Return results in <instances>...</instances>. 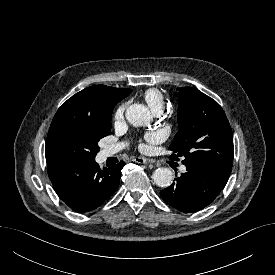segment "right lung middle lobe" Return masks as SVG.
<instances>
[{
  "label": "right lung middle lobe",
  "instance_id": "1",
  "mask_svg": "<svg viewBox=\"0 0 275 275\" xmlns=\"http://www.w3.org/2000/svg\"><path fill=\"white\" fill-rule=\"evenodd\" d=\"M111 114L101 121H66L54 127L46 140V162L86 163L95 160L98 142L110 134Z\"/></svg>",
  "mask_w": 275,
  "mask_h": 275
}]
</instances>
